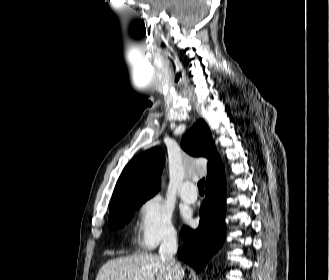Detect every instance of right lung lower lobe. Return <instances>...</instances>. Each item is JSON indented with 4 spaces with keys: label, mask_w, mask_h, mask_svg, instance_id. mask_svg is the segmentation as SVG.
<instances>
[{
    "label": "right lung lower lobe",
    "mask_w": 329,
    "mask_h": 280,
    "mask_svg": "<svg viewBox=\"0 0 329 280\" xmlns=\"http://www.w3.org/2000/svg\"><path fill=\"white\" fill-rule=\"evenodd\" d=\"M225 176L224 169L206 182V196L200 209V222L196 230L183 227L184 240L178 250L182 261L201 272L212 255L218 251L225 237Z\"/></svg>",
    "instance_id": "obj_1"
}]
</instances>
